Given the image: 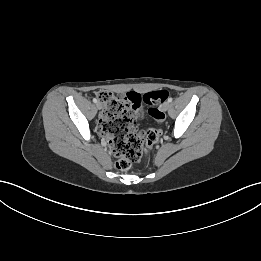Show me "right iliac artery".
Returning <instances> with one entry per match:
<instances>
[{"mask_svg": "<svg viewBox=\"0 0 261 261\" xmlns=\"http://www.w3.org/2000/svg\"><path fill=\"white\" fill-rule=\"evenodd\" d=\"M93 102H94V103H97L98 101H97V99H96V98H93Z\"/></svg>", "mask_w": 261, "mask_h": 261, "instance_id": "1", "label": "right iliac artery"}]
</instances>
